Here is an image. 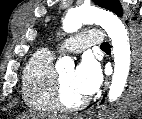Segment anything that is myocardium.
<instances>
[{"instance_id":"1","label":"myocardium","mask_w":142,"mask_h":119,"mask_svg":"<svg viewBox=\"0 0 142 119\" xmlns=\"http://www.w3.org/2000/svg\"><path fill=\"white\" fill-rule=\"evenodd\" d=\"M53 98L56 109L64 112H73L82 109L88 103L87 98H83L74 104H67L63 98V89L61 78L59 75H55L53 86Z\"/></svg>"}]
</instances>
